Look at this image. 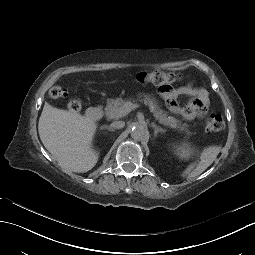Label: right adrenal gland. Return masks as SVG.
<instances>
[{
  "label": "right adrenal gland",
  "mask_w": 255,
  "mask_h": 255,
  "mask_svg": "<svg viewBox=\"0 0 255 255\" xmlns=\"http://www.w3.org/2000/svg\"><path fill=\"white\" fill-rule=\"evenodd\" d=\"M103 129H106V130L111 131V132H114V131H115V129H113V128L110 127V126H102V127H101V130H103Z\"/></svg>",
  "instance_id": "1"
}]
</instances>
